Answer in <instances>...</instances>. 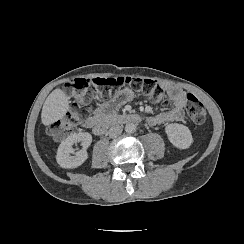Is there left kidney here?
<instances>
[{
    "instance_id": "obj_1",
    "label": "left kidney",
    "mask_w": 244,
    "mask_h": 244,
    "mask_svg": "<svg viewBox=\"0 0 244 244\" xmlns=\"http://www.w3.org/2000/svg\"><path fill=\"white\" fill-rule=\"evenodd\" d=\"M170 143L179 150H188L193 142L189 128L183 124L168 123L164 129Z\"/></svg>"
}]
</instances>
